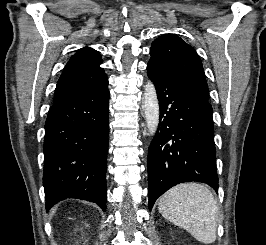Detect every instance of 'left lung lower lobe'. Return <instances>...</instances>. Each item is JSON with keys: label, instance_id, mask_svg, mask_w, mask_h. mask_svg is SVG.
Masks as SVG:
<instances>
[{"label": "left lung lower lobe", "instance_id": "left-lung-lower-lobe-1", "mask_svg": "<svg viewBox=\"0 0 266 245\" xmlns=\"http://www.w3.org/2000/svg\"><path fill=\"white\" fill-rule=\"evenodd\" d=\"M160 107L159 127L148 150L149 210L171 187L197 181L218 193L212 107L202 94L149 62Z\"/></svg>", "mask_w": 266, "mask_h": 245}]
</instances>
